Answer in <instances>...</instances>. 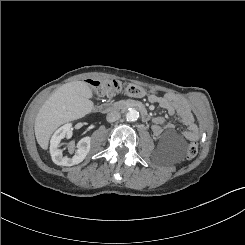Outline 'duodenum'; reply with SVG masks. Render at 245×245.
<instances>
[{
    "mask_svg": "<svg viewBox=\"0 0 245 245\" xmlns=\"http://www.w3.org/2000/svg\"><path fill=\"white\" fill-rule=\"evenodd\" d=\"M122 108H136L142 115L145 121L149 120V114L146 107L137 101H123L117 103H104L101 105L100 110L104 113L112 112Z\"/></svg>",
    "mask_w": 245,
    "mask_h": 245,
    "instance_id": "obj_1",
    "label": "duodenum"
}]
</instances>
